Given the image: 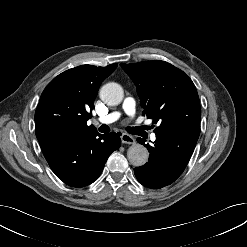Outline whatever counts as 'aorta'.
Segmentation results:
<instances>
[{
  "mask_svg": "<svg viewBox=\"0 0 247 247\" xmlns=\"http://www.w3.org/2000/svg\"><path fill=\"white\" fill-rule=\"evenodd\" d=\"M99 95L104 103L115 106L123 100L124 92L118 83L110 82L102 86ZM127 158L132 165L142 166L148 161L149 152L145 146L136 143L128 148Z\"/></svg>",
  "mask_w": 247,
  "mask_h": 247,
  "instance_id": "762f6f07",
  "label": "aorta"
}]
</instances>
